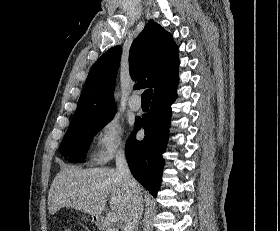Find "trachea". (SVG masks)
Returning <instances> with one entry per match:
<instances>
[{
    "label": "trachea",
    "instance_id": "trachea-1",
    "mask_svg": "<svg viewBox=\"0 0 280 231\" xmlns=\"http://www.w3.org/2000/svg\"><path fill=\"white\" fill-rule=\"evenodd\" d=\"M153 91L151 89L145 90L141 95V103L142 105L149 106L152 98Z\"/></svg>",
    "mask_w": 280,
    "mask_h": 231
}]
</instances>
